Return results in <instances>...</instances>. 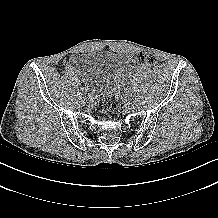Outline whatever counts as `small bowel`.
Masks as SVG:
<instances>
[{
  "label": "small bowel",
  "instance_id": "c3829d8e",
  "mask_svg": "<svg viewBox=\"0 0 218 218\" xmlns=\"http://www.w3.org/2000/svg\"><path fill=\"white\" fill-rule=\"evenodd\" d=\"M75 62V58H69L65 61L64 65L66 69L71 70V64Z\"/></svg>",
  "mask_w": 218,
  "mask_h": 218
}]
</instances>
